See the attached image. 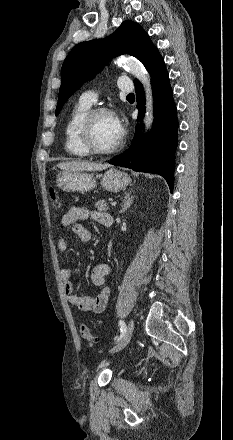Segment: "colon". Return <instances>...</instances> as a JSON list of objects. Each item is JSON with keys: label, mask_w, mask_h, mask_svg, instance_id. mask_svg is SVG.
<instances>
[{"label": "colon", "mask_w": 233, "mask_h": 440, "mask_svg": "<svg viewBox=\"0 0 233 440\" xmlns=\"http://www.w3.org/2000/svg\"><path fill=\"white\" fill-rule=\"evenodd\" d=\"M49 197H50V201H51L52 205L55 208H59L60 204H61V201H60V198H59L56 190L53 187H51L49 189ZM80 334L87 341V343L89 345L92 346V345H94L96 343L95 337L91 334L90 329H89V327L86 324H81V326H80Z\"/></svg>", "instance_id": "1"}]
</instances>
